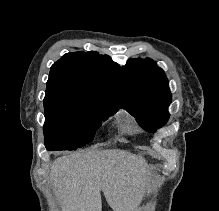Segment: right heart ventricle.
I'll use <instances>...</instances> for the list:
<instances>
[{
  "label": "right heart ventricle",
  "mask_w": 219,
  "mask_h": 211,
  "mask_svg": "<svg viewBox=\"0 0 219 211\" xmlns=\"http://www.w3.org/2000/svg\"><path fill=\"white\" fill-rule=\"evenodd\" d=\"M126 130L128 132H133L136 130V126L134 124V120L132 118H129L128 120V126L126 127Z\"/></svg>",
  "instance_id": "e07e8e85"
}]
</instances>
